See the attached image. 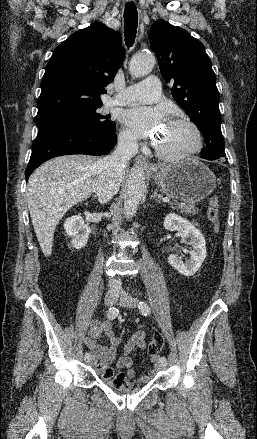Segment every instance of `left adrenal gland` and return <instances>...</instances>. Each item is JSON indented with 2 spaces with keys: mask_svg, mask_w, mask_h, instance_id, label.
<instances>
[{
  "mask_svg": "<svg viewBox=\"0 0 257 439\" xmlns=\"http://www.w3.org/2000/svg\"><path fill=\"white\" fill-rule=\"evenodd\" d=\"M158 189H155L154 193L151 195L150 199H154L155 201L161 203V200L157 196Z\"/></svg>",
  "mask_w": 257,
  "mask_h": 439,
  "instance_id": "1",
  "label": "left adrenal gland"
}]
</instances>
